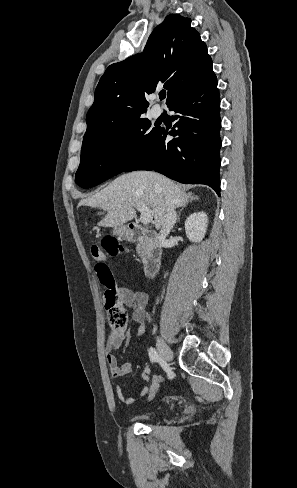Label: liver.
I'll use <instances>...</instances> for the list:
<instances>
[{"mask_svg":"<svg viewBox=\"0 0 297 488\" xmlns=\"http://www.w3.org/2000/svg\"><path fill=\"white\" fill-rule=\"evenodd\" d=\"M166 196L173 200L175 207H180L191 194H186L180 186L159 173L136 171L117 177L100 192L81 200L78 206L107 211L98 225L116 228L136 216V204H144L152 209L155 226L159 228L166 214Z\"/></svg>","mask_w":297,"mask_h":488,"instance_id":"liver-1","label":"liver"}]
</instances>
